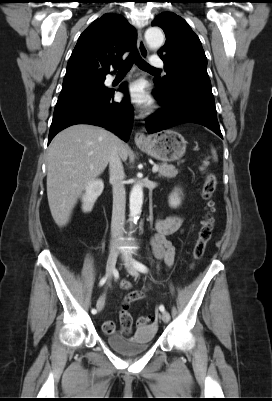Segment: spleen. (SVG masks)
I'll use <instances>...</instances> for the list:
<instances>
[{
    "instance_id": "obj_1",
    "label": "spleen",
    "mask_w": 272,
    "mask_h": 401,
    "mask_svg": "<svg viewBox=\"0 0 272 401\" xmlns=\"http://www.w3.org/2000/svg\"><path fill=\"white\" fill-rule=\"evenodd\" d=\"M212 154H213V158H214V160H217L216 151H215L214 149H212Z\"/></svg>"
}]
</instances>
